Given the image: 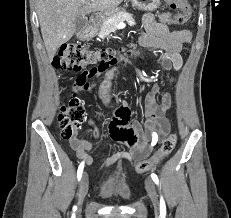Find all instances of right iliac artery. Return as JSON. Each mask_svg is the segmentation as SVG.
Instances as JSON below:
<instances>
[{"label": "right iliac artery", "instance_id": "obj_1", "mask_svg": "<svg viewBox=\"0 0 231 218\" xmlns=\"http://www.w3.org/2000/svg\"><path fill=\"white\" fill-rule=\"evenodd\" d=\"M83 168H84V162H81V164L78 167V171H77L78 180H80V178L82 176ZM74 210H76V207H74Z\"/></svg>", "mask_w": 231, "mask_h": 218}]
</instances>
